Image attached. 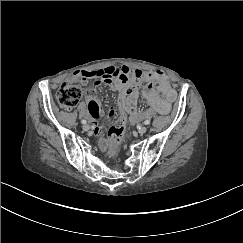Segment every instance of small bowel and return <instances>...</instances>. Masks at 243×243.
<instances>
[{
  "mask_svg": "<svg viewBox=\"0 0 243 243\" xmlns=\"http://www.w3.org/2000/svg\"><path fill=\"white\" fill-rule=\"evenodd\" d=\"M131 74L132 72L126 66H110L98 70L82 71L76 76L75 80L81 85H86L89 80L98 79L96 84L104 82L111 88L118 90L122 85L121 81L127 79ZM135 74L140 75L147 83L143 90V95L149 105L160 114H168L171 109V104L176 97V92L169 84L166 75L161 71L142 72L139 70ZM87 103L92 118L99 120L104 115V111L100 106L95 89L88 92ZM114 114V109L110 108L108 110V116L113 117ZM94 130L98 133L100 128L95 126Z\"/></svg>",
  "mask_w": 243,
  "mask_h": 243,
  "instance_id": "c3829d8e",
  "label": "small bowel"
}]
</instances>
